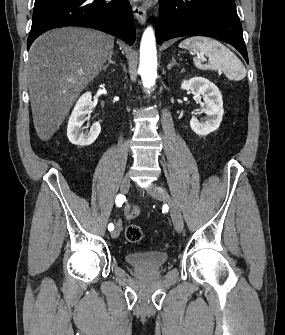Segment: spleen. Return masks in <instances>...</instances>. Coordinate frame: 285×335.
Listing matches in <instances>:
<instances>
[{
  "label": "spleen",
  "mask_w": 285,
  "mask_h": 335,
  "mask_svg": "<svg viewBox=\"0 0 285 335\" xmlns=\"http://www.w3.org/2000/svg\"><path fill=\"white\" fill-rule=\"evenodd\" d=\"M179 48H184V50H191V52H196L200 56H207L209 58V64H202L200 58H193V64L199 70H217V66H221L222 70H235L239 72L241 78H245L246 70L241 64L240 60L222 46L217 40H212V38H203V36H194V38H187L179 44Z\"/></svg>",
  "instance_id": "3e777b00"
}]
</instances>
